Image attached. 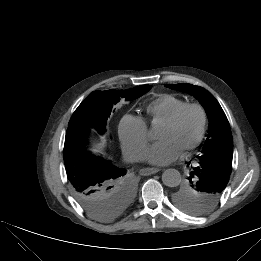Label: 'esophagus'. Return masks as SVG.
I'll list each match as a JSON object with an SVG mask.
<instances>
[{
	"label": "esophagus",
	"instance_id": "obj_1",
	"mask_svg": "<svg viewBox=\"0 0 261 261\" xmlns=\"http://www.w3.org/2000/svg\"><path fill=\"white\" fill-rule=\"evenodd\" d=\"M159 171H160V169H158V168H143L140 170V174L143 176H148L151 174L158 173Z\"/></svg>",
	"mask_w": 261,
	"mask_h": 261
}]
</instances>
